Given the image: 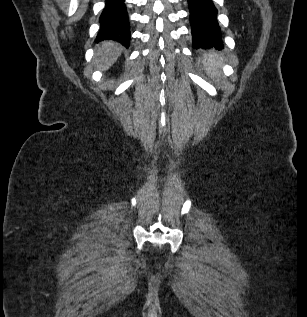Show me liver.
Listing matches in <instances>:
<instances>
[{
	"label": "liver",
	"instance_id": "obj_1",
	"mask_svg": "<svg viewBox=\"0 0 307 317\" xmlns=\"http://www.w3.org/2000/svg\"><path fill=\"white\" fill-rule=\"evenodd\" d=\"M122 46L114 41H104L96 48L93 65L101 71L108 70L121 55Z\"/></svg>",
	"mask_w": 307,
	"mask_h": 317
}]
</instances>
